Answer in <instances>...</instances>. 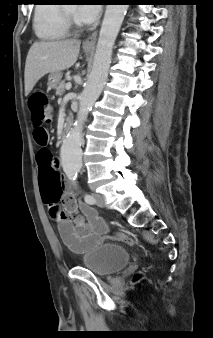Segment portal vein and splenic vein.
I'll list each match as a JSON object with an SVG mask.
<instances>
[{
  "mask_svg": "<svg viewBox=\"0 0 213 338\" xmlns=\"http://www.w3.org/2000/svg\"><path fill=\"white\" fill-rule=\"evenodd\" d=\"M71 87H72L71 82H68V83L66 84V86H65V88H66L67 90H70Z\"/></svg>",
  "mask_w": 213,
  "mask_h": 338,
  "instance_id": "1",
  "label": "portal vein and splenic vein"
}]
</instances>
